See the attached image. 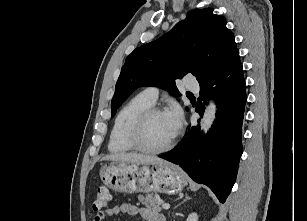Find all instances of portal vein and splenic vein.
<instances>
[{
	"instance_id": "1",
	"label": "portal vein and splenic vein",
	"mask_w": 307,
	"mask_h": 221,
	"mask_svg": "<svg viewBox=\"0 0 307 221\" xmlns=\"http://www.w3.org/2000/svg\"><path fill=\"white\" fill-rule=\"evenodd\" d=\"M162 208L165 209V210H168L170 208V204L168 203H163L162 204Z\"/></svg>"
}]
</instances>
